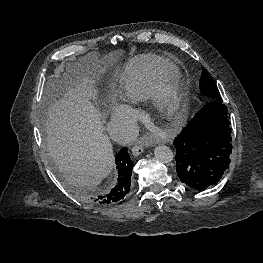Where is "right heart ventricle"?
<instances>
[{"instance_id":"e07e8e85","label":"right heart ventricle","mask_w":263,"mask_h":263,"mask_svg":"<svg viewBox=\"0 0 263 263\" xmlns=\"http://www.w3.org/2000/svg\"><path fill=\"white\" fill-rule=\"evenodd\" d=\"M177 74L175 65L165 59L142 56L127 63L118 79L123 98L132 103L148 99L161 78Z\"/></svg>"}]
</instances>
